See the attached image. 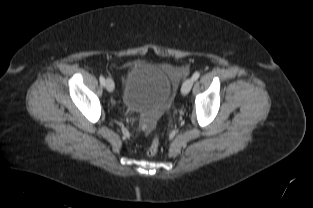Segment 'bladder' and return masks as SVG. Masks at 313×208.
Segmentation results:
<instances>
[{"instance_id":"31cf9c89","label":"bladder","mask_w":313,"mask_h":208,"mask_svg":"<svg viewBox=\"0 0 313 208\" xmlns=\"http://www.w3.org/2000/svg\"><path fill=\"white\" fill-rule=\"evenodd\" d=\"M170 95L171 82L163 70L147 63H136L124 83L122 102L128 111L160 115Z\"/></svg>"}]
</instances>
